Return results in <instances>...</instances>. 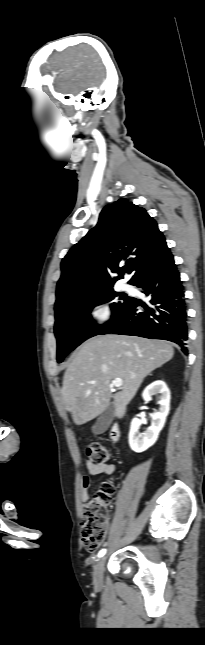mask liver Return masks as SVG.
Wrapping results in <instances>:
<instances>
[{"instance_id":"liver-1","label":"liver","mask_w":205,"mask_h":645,"mask_svg":"<svg viewBox=\"0 0 205 645\" xmlns=\"http://www.w3.org/2000/svg\"><path fill=\"white\" fill-rule=\"evenodd\" d=\"M173 355V347L164 341L111 334L90 338L78 348L64 374V408L76 425H82L101 415L112 397L114 414L122 418L144 378ZM116 378L122 379V390L111 396Z\"/></svg>"}]
</instances>
